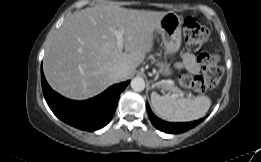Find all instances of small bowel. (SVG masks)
Returning a JSON list of instances; mask_svg holds the SVG:
<instances>
[{
  "label": "small bowel",
  "mask_w": 261,
  "mask_h": 162,
  "mask_svg": "<svg viewBox=\"0 0 261 162\" xmlns=\"http://www.w3.org/2000/svg\"><path fill=\"white\" fill-rule=\"evenodd\" d=\"M178 67L185 68L186 70L194 74L200 71V66L197 63L194 55L189 52H184L181 54Z\"/></svg>",
  "instance_id": "obj_1"
}]
</instances>
